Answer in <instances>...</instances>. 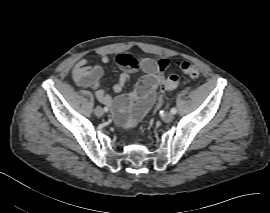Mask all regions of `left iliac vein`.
<instances>
[{
  "instance_id": "left-iliac-vein-1",
  "label": "left iliac vein",
  "mask_w": 270,
  "mask_h": 213,
  "mask_svg": "<svg viewBox=\"0 0 270 213\" xmlns=\"http://www.w3.org/2000/svg\"><path fill=\"white\" fill-rule=\"evenodd\" d=\"M162 119L164 122L169 123L174 119V115L171 112H167L163 115Z\"/></svg>"
}]
</instances>
